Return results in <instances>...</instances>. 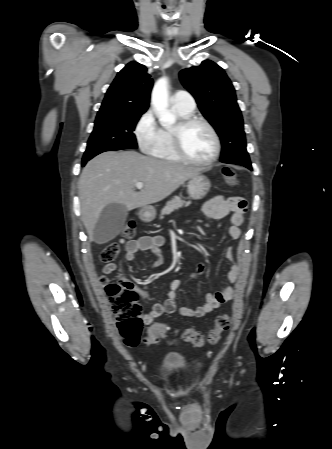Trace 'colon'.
I'll use <instances>...</instances> for the list:
<instances>
[{"label": "colon", "mask_w": 332, "mask_h": 449, "mask_svg": "<svg viewBox=\"0 0 332 449\" xmlns=\"http://www.w3.org/2000/svg\"><path fill=\"white\" fill-rule=\"evenodd\" d=\"M222 176L230 186L237 184L236 171L231 166H226L222 170ZM136 233L134 222H127L123 228L124 238H132ZM123 240L109 243L99 255L103 263L112 262L120 251ZM105 291L112 303V311L116 316L120 334L128 346H137L140 343L153 344L159 338L164 337L169 332V327L163 323H156L150 326L145 336L142 335L144 322L142 318V308L138 302V294L131 283L120 280L105 284ZM230 327V317L220 315L215 321V326L205 337L201 332L189 328L180 334L184 341L200 347L206 343L216 344L224 332Z\"/></svg>", "instance_id": "1"}]
</instances>
